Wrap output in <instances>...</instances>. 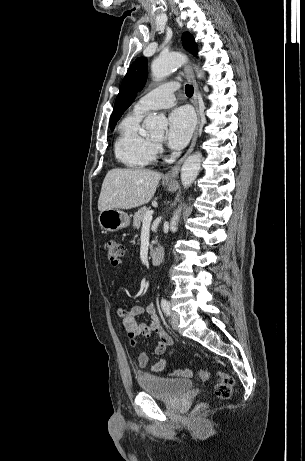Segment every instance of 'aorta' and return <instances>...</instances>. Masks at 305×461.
I'll return each mask as SVG.
<instances>
[{
    "label": "aorta",
    "instance_id": "aorta-1",
    "mask_svg": "<svg viewBox=\"0 0 305 461\" xmlns=\"http://www.w3.org/2000/svg\"><path fill=\"white\" fill-rule=\"evenodd\" d=\"M186 57L178 52H172L159 56L152 62L151 71L155 81L162 80L170 75L175 69L185 63ZM198 77H203V73L198 71ZM147 131L153 136H162L167 127V119L157 114H149L145 121ZM201 166V153L196 152L190 155L181 168V183L184 188L191 186L196 179ZM181 209H177L170 221V228H177Z\"/></svg>",
    "mask_w": 305,
    "mask_h": 461
}]
</instances>
